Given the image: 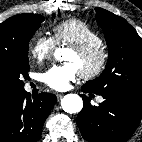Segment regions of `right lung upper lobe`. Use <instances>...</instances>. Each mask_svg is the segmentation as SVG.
Segmentation results:
<instances>
[{
    "label": "right lung upper lobe",
    "instance_id": "cb5924a9",
    "mask_svg": "<svg viewBox=\"0 0 142 142\" xmlns=\"http://www.w3.org/2000/svg\"><path fill=\"white\" fill-rule=\"evenodd\" d=\"M26 14L13 16L0 24V44H3L8 37H12L18 30ZM15 93L0 91V113L15 97Z\"/></svg>",
    "mask_w": 142,
    "mask_h": 142
}]
</instances>
